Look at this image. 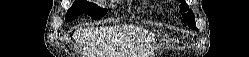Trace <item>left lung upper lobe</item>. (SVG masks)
<instances>
[{
	"instance_id": "obj_1",
	"label": "left lung upper lobe",
	"mask_w": 249,
	"mask_h": 57,
	"mask_svg": "<svg viewBox=\"0 0 249 57\" xmlns=\"http://www.w3.org/2000/svg\"><path fill=\"white\" fill-rule=\"evenodd\" d=\"M180 3H182L181 11L186 12L182 17L184 21L188 24L189 27L197 30L195 26V15L193 14L192 10L188 8V6L185 3V0H179Z\"/></svg>"
}]
</instances>
